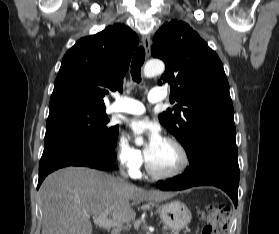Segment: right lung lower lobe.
Segmentation results:
<instances>
[{
    "mask_svg": "<svg viewBox=\"0 0 279 234\" xmlns=\"http://www.w3.org/2000/svg\"><path fill=\"white\" fill-rule=\"evenodd\" d=\"M114 155H106L92 144L79 139H64L45 145L39 163L38 186L54 170L67 166H86L105 170L112 166Z\"/></svg>",
    "mask_w": 279,
    "mask_h": 234,
    "instance_id": "98d812e1",
    "label": "right lung lower lobe"
}]
</instances>
